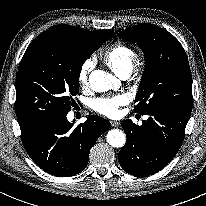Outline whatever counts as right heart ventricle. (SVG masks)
Listing matches in <instances>:
<instances>
[{
	"mask_svg": "<svg viewBox=\"0 0 206 206\" xmlns=\"http://www.w3.org/2000/svg\"><path fill=\"white\" fill-rule=\"evenodd\" d=\"M103 59L112 71L120 76L123 71L133 69L136 52L127 44L116 43L103 53Z\"/></svg>",
	"mask_w": 206,
	"mask_h": 206,
	"instance_id": "obj_1",
	"label": "right heart ventricle"
}]
</instances>
